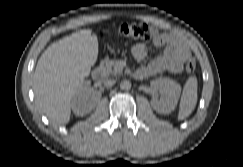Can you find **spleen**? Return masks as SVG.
Segmentation results:
<instances>
[{
	"label": "spleen",
	"instance_id": "3e777b00",
	"mask_svg": "<svg viewBox=\"0 0 243 167\" xmlns=\"http://www.w3.org/2000/svg\"><path fill=\"white\" fill-rule=\"evenodd\" d=\"M197 87L198 82L196 76L189 77L183 87L179 104L178 119H185L194 110L197 103Z\"/></svg>",
	"mask_w": 243,
	"mask_h": 167
}]
</instances>
